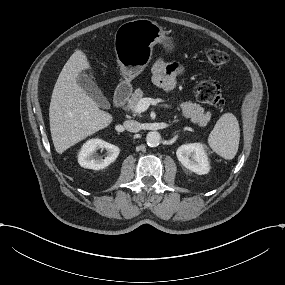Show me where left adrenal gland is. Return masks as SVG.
Returning <instances> with one entry per match:
<instances>
[{
    "mask_svg": "<svg viewBox=\"0 0 285 285\" xmlns=\"http://www.w3.org/2000/svg\"><path fill=\"white\" fill-rule=\"evenodd\" d=\"M178 122V120H174L173 123Z\"/></svg>",
    "mask_w": 285,
    "mask_h": 285,
    "instance_id": "a2214340",
    "label": "left adrenal gland"
}]
</instances>
